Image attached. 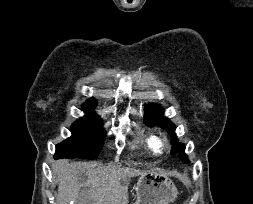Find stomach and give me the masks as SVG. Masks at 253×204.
<instances>
[{
	"label": "stomach",
	"mask_w": 253,
	"mask_h": 204,
	"mask_svg": "<svg viewBox=\"0 0 253 204\" xmlns=\"http://www.w3.org/2000/svg\"><path fill=\"white\" fill-rule=\"evenodd\" d=\"M134 204H170L178 194L173 181L163 172L148 170L141 174L135 186Z\"/></svg>",
	"instance_id": "stomach-1"
}]
</instances>
